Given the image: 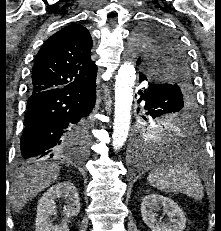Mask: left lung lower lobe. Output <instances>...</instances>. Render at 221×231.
Returning <instances> with one entry per match:
<instances>
[{"label": "left lung lower lobe", "instance_id": "left-lung-lower-lobe-1", "mask_svg": "<svg viewBox=\"0 0 221 231\" xmlns=\"http://www.w3.org/2000/svg\"><path fill=\"white\" fill-rule=\"evenodd\" d=\"M147 80L140 73V82ZM165 91L161 84L150 83L144 91L139 90L141 95L138 102L155 100ZM198 124L193 117L186 118L178 123V128L164 132L154 140H150L149 147L141 146L139 142L132 147L131 156L144 161H152L161 158L164 154L176 153L175 160L182 164H192L195 150L201 148L198 137ZM189 150V151H187Z\"/></svg>", "mask_w": 221, "mask_h": 231}]
</instances>
